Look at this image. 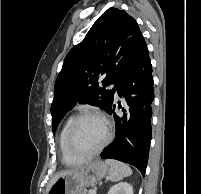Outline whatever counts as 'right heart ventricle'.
<instances>
[{
    "mask_svg": "<svg viewBox=\"0 0 201 194\" xmlns=\"http://www.w3.org/2000/svg\"><path fill=\"white\" fill-rule=\"evenodd\" d=\"M74 118V116H70L66 119L58 136L61 161L66 166H75L82 162L81 159L74 157L67 148V133Z\"/></svg>",
    "mask_w": 201,
    "mask_h": 194,
    "instance_id": "e07e8e85",
    "label": "right heart ventricle"
}]
</instances>
